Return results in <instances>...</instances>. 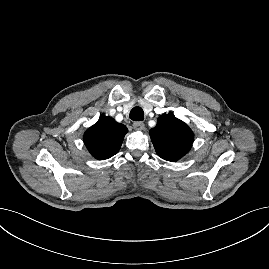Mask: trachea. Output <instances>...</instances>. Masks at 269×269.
I'll use <instances>...</instances> for the list:
<instances>
[{
	"instance_id": "obj_1",
	"label": "trachea",
	"mask_w": 269,
	"mask_h": 269,
	"mask_svg": "<svg viewBox=\"0 0 269 269\" xmlns=\"http://www.w3.org/2000/svg\"><path fill=\"white\" fill-rule=\"evenodd\" d=\"M129 118L133 121H142L144 119L143 109L139 106L132 108Z\"/></svg>"
}]
</instances>
